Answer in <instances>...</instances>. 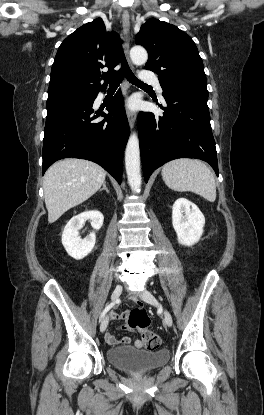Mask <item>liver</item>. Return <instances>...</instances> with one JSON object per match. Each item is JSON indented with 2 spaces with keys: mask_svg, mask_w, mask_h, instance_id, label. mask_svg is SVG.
<instances>
[{
  "mask_svg": "<svg viewBox=\"0 0 264 415\" xmlns=\"http://www.w3.org/2000/svg\"><path fill=\"white\" fill-rule=\"evenodd\" d=\"M106 171L84 159H63L45 173L43 188L48 222L58 220L66 211L83 203L104 184Z\"/></svg>",
  "mask_w": 264,
  "mask_h": 415,
  "instance_id": "6515ba94",
  "label": "liver"
}]
</instances>
